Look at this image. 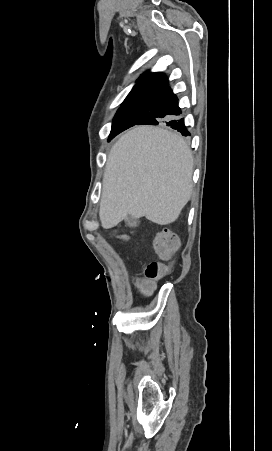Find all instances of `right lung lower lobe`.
I'll list each match as a JSON object with an SVG mask.
<instances>
[{
    "label": "right lung lower lobe",
    "mask_w": 272,
    "mask_h": 451,
    "mask_svg": "<svg viewBox=\"0 0 272 451\" xmlns=\"http://www.w3.org/2000/svg\"><path fill=\"white\" fill-rule=\"evenodd\" d=\"M149 106V112L132 126L140 124L158 125L159 123H165L167 126H171V128L181 132L182 135H189L184 119L174 117L181 115L182 111L178 107L177 97L168 86L152 99Z\"/></svg>",
    "instance_id": "right-lung-lower-lobe-1"
}]
</instances>
